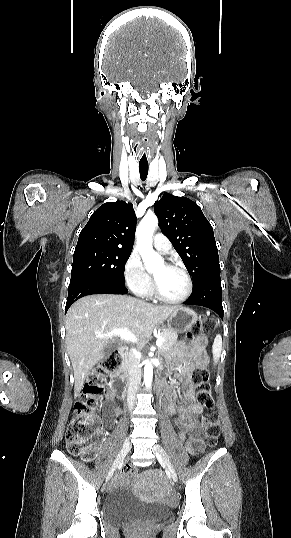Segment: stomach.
I'll return each instance as SVG.
<instances>
[{
  "label": "stomach",
  "instance_id": "obj_1",
  "mask_svg": "<svg viewBox=\"0 0 291 538\" xmlns=\"http://www.w3.org/2000/svg\"><path fill=\"white\" fill-rule=\"evenodd\" d=\"M197 319V314L193 310L179 307L167 318L168 329L176 334L186 332L192 328Z\"/></svg>",
  "mask_w": 291,
  "mask_h": 538
}]
</instances>
